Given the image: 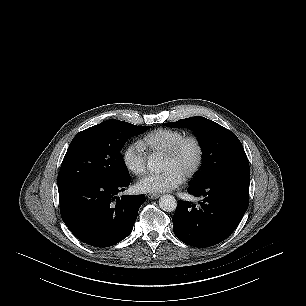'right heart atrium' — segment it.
Returning a JSON list of instances; mask_svg holds the SVG:
<instances>
[{
	"mask_svg": "<svg viewBox=\"0 0 306 306\" xmlns=\"http://www.w3.org/2000/svg\"><path fill=\"white\" fill-rule=\"evenodd\" d=\"M122 159L126 169L135 176H141L147 170L148 155L140 143L127 145L123 150Z\"/></svg>",
	"mask_w": 306,
	"mask_h": 306,
	"instance_id": "obj_1",
	"label": "right heart atrium"
}]
</instances>
